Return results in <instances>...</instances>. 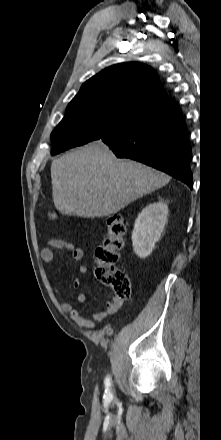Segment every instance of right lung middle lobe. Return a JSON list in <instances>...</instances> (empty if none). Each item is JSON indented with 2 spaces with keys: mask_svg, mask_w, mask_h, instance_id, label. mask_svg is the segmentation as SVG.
I'll return each instance as SVG.
<instances>
[{
  "mask_svg": "<svg viewBox=\"0 0 221 440\" xmlns=\"http://www.w3.org/2000/svg\"><path fill=\"white\" fill-rule=\"evenodd\" d=\"M133 112L109 101L70 103L64 118L51 134V154L100 139Z\"/></svg>",
  "mask_w": 221,
  "mask_h": 440,
  "instance_id": "dd1d6c3e",
  "label": "right lung middle lobe"
}]
</instances>
